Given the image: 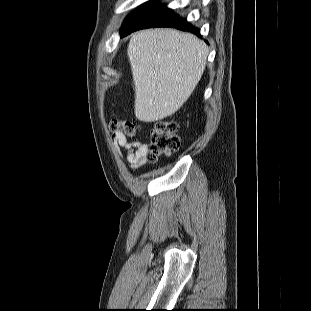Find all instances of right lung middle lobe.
<instances>
[{
	"label": "right lung middle lobe",
	"instance_id": "right-lung-middle-lobe-1",
	"mask_svg": "<svg viewBox=\"0 0 311 311\" xmlns=\"http://www.w3.org/2000/svg\"><path fill=\"white\" fill-rule=\"evenodd\" d=\"M154 4V3H153ZM152 5L151 2L143 4L138 10L134 11L131 13L127 18L125 19L123 26H122V31H124L132 22L133 20L140 15L143 11H145L147 8H149ZM121 31V32H122Z\"/></svg>",
	"mask_w": 311,
	"mask_h": 311
}]
</instances>
